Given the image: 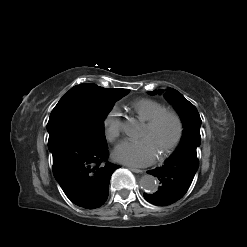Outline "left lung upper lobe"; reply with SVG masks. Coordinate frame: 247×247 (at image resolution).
<instances>
[{
	"label": "left lung upper lobe",
	"instance_id": "1",
	"mask_svg": "<svg viewBox=\"0 0 247 247\" xmlns=\"http://www.w3.org/2000/svg\"><path fill=\"white\" fill-rule=\"evenodd\" d=\"M156 92L149 93L154 95ZM164 96L175 107L182 119L184 130L179 147L186 145L198 147L201 142V118L196 107L174 89H168Z\"/></svg>",
	"mask_w": 247,
	"mask_h": 247
}]
</instances>
